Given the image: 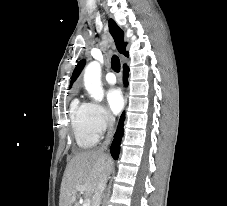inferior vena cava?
<instances>
[{
  "label": "inferior vena cava",
  "instance_id": "1",
  "mask_svg": "<svg viewBox=\"0 0 227 206\" xmlns=\"http://www.w3.org/2000/svg\"><path fill=\"white\" fill-rule=\"evenodd\" d=\"M114 121H115V118L113 117V115H109V126H110V128H109V131H108V137H107L106 141L104 142L103 146L99 149L100 152H104L107 149V146L110 143V137H111V132H112V129H113ZM106 182H107L106 177L101 179V181L99 182V184L96 188V191L94 193V196H93V200H94V203H95L94 206L100 205L101 197H102L103 191L105 189Z\"/></svg>",
  "mask_w": 227,
  "mask_h": 206
}]
</instances>
